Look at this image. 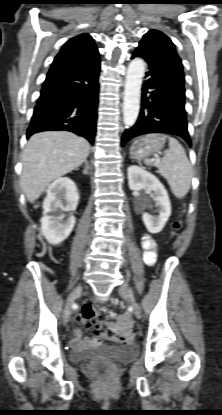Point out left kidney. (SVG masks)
Wrapping results in <instances>:
<instances>
[{"instance_id":"1","label":"left kidney","mask_w":222,"mask_h":415,"mask_svg":"<svg viewBox=\"0 0 222 415\" xmlns=\"http://www.w3.org/2000/svg\"><path fill=\"white\" fill-rule=\"evenodd\" d=\"M129 188L133 191L147 189L158 207L159 214L143 213V222L150 233H159L171 215V204L167 190L159 179L150 172L136 166L127 169Z\"/></svg>"}]
</instances>
